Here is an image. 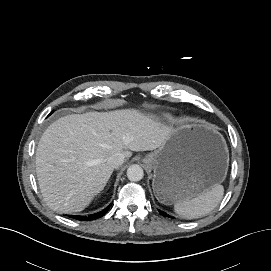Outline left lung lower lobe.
I'll return each mask as SVG.
<instances>
[{
	"label": "left lung lower lobe",
	"mask_w": 271,
	"mask_h": 271,
	"mask_svg": "<svg viewBox=\"0 0 271 271\" xmlns=\"http://www.w3.org/2000/svg\"><path fill=\"white\" fill-rule=\"evenodd\" d=\"M159 212H160L161 215H163V216H165V217H169V215H167L165 212L160 211V210H159Z\"/></svg>",
	"instance_id": "0a47b994"
}]
</instances>
